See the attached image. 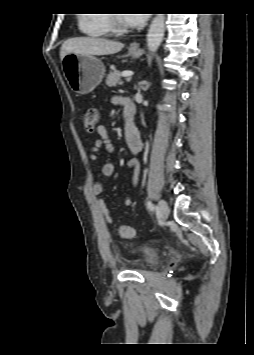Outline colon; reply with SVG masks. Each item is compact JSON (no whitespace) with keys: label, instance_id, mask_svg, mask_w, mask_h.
<instances>
[{"label":"colon","instance_id":"5ec220e1","mask_svg":"<svg viewBox=\"0 0 254 355\" xmlns=\"http://www.w3.org/2000/svg\"><path fill=\"white\" fill-rule=\"evenodd\" d=\"M99 122V110L95 107H89L83 114V124L87 131L93 132ZM120 237L129 239L135 234L131 225H119L117 228Z\"/></svg>","mask_w":254,"mask_h":355}]
</instances>
